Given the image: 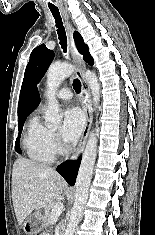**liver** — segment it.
<instances>
[{"label": "liver", "mask_w": 155, "mask_h": 235, "mask_svg": "<svg viewBox=\"0 0 155 235\" xmlns=\"http://www.w3.org/2000/svg\"><path fill=\"white\" fill-rule=\"evenodd\" d=\"M64 187L61 176L53 168L18 158L12 170V201L18 223L22 225L34 209L60 196Z\"/></svg>", "instance_id": "liver-1"}]
</instances>
